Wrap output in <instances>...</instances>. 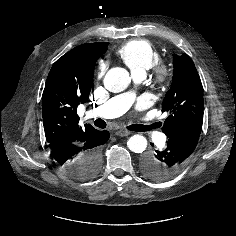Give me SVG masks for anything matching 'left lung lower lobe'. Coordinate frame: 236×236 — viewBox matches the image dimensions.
I'll return each mask as SVG.
<instances>
[{
  "instance_id": "left-lung-lower-lobe-1",
  "label": "left lung lower lobe",
  "mask_w": 236,
  "mask_h": 236,
  "mask_svg": "<svg viewBox=\"0 0 236 236\" xmlns=\"http://www.w3.org/2000/svg\"><path fill=\"white\" fill-rule=\"evenodd\" d=\"M201 127L186 129L169 137L164 150H155L142 159V171L150 179L162 181L177 175L197 146Z\"/></svg>"
}]
</instances>
